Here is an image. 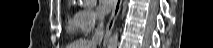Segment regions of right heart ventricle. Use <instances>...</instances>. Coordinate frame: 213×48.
<instances>
[{
  "label": "right heart ventricle",
  "mask_w": 213,
  "mask_h": 48,
  "mask_svg": "<svg viewBox=\"0 0 213 48\" xmlns=\"http://www.w3.org/2000/svg\"><path fill=\"white\" fill-rule=\"evenodd\" d=\"M66 29L72 34H76L81 31L79 12H71L67 16Z\"/></svg>",
  "instance_id": "e07e8e85"
}]
</instances>
